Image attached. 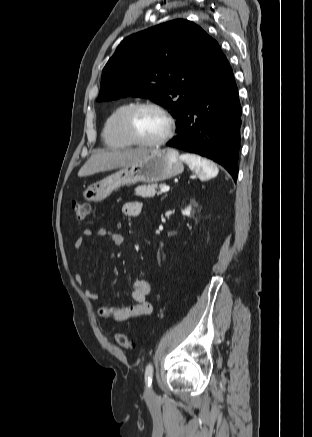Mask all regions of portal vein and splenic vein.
I'll use <instances>...</instances> for the list:
<instances>
[{
  "label": "portal vein and splenic vein",
  "mask_w": 312,
  "mask_h": 437,
  "mask_svg": "<svg viewBox=\"0 0 312 437\" xmlns=\"http://www.w3.org/2000/svg\"><path fill=\"white\" fill-rule=\"evenodd\" d=\"M169 189H170L169 186H163V187H161V190H160V191L163 192V193H165V192H168Z\"/></svg>",
  "instance_id": "18ae733b"
}]
</instances>
